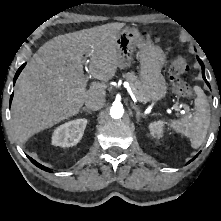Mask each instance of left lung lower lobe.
<instances>
[{
	"label": "left lung lower lobe",
	"instance_id": "obj_1",
	"mask_svg": "<svg viewBox=\"0 0 221 221\" xmlns=\"http://www.w3.org/2000/svg\"><path fill=\"white\" fill-rule=\"evenodd\" d=\"M198 61H199V63L201 64V66H202V76H203V78H204V80L206 81V83H207V85L209 86V83L207 82V80H206V78H205V74H204V65H203V63H202V61H201V59H199L198 58ZM197 157V156H196ZM195 158H193L192 160H190L188 163H190L191 161H193Z\"/></svg>",
	"mask_w": 221,
	"mask_h": 221
}]
</instances>
